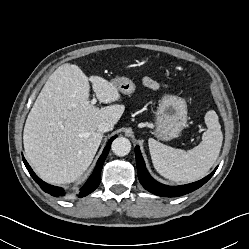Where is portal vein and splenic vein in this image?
<instances>
[{
    "instance_id": "portal-vein-and-splenic-vein-1",
    "label": "portal vein and splenic vein",
    "mask_w": 249,
    "mask_h": 249,
    "mask_svg": "<svg viewBox=\"0 0 249 249\" xmlns=\"http://www.w3.org/2000/svg\"><path fill=\"white\" fill-rule=\"evenodd\" d=\"M96 102H97L96 98H93L90 104L94 105V104H96Z\"/></svg>"
}]
</instances>
